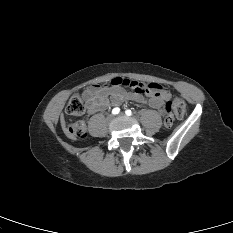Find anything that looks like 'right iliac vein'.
<instances>
[{"label":"right iliac vein","mask_w":233,"mask_h":233,"mask_svg":"<svg viewBox=\"0 0 233 233\" xmlns=\"http://www.w3.org/2000/svg\"><path fill=\"white\" fill-rule=\"evenodd\" d=\"M108 119H109V120H112V119H113V116H112V115H110V116L108 117Z\"/></svg>","instance_id":"1"}]
</instances>
